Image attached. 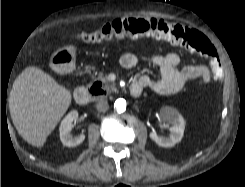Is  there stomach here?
Returning a JSON list of instances; mask_svg holds the SVG:
<instances>
[{"instance_id": "0dacf381", "label": "stomach", "mask_w": 245, "mask_h": 187, "mask_svg": "<svg viewBox=\"0 0 245 187\" xmlns=\"http://www.w3.org/2000/svg\"><path fill=\"white\" fill-rule=\"evenodd\" d=\"M76 48L66 46L56 51L50 58V67L57 73H68L75 67Z\"/></svg>"}]
</instances>
